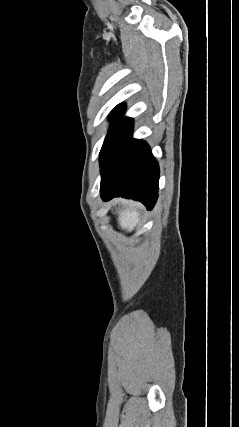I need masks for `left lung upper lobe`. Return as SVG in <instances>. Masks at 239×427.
<instances>
[{
	"label": "left lung upper lobe",
	"instance_id": "left-lung-upper-lobe-1",
	"mask_svg": "<svg viewBox=\"0 0 239 427\" xmlns=\"http://www.w3.org/2000/svg\"><path fill=\"white\" fill-rule=\"evenodd\" d=\"M126 108V105L124 103H121L117 105L111 112L110 118L113 119V121L117 120L119 117L122 116L124 113V110ZM131 119L130 118H122L120 120H117L114 125L109 130L105 141L103 143V146L101 148L100 153L104 149V147L108 144V142L112 139V137L124 126L126 125Z\"/></svg>",
	"mask_w": 239,
	"mask_h": 427
}]
</instances>
